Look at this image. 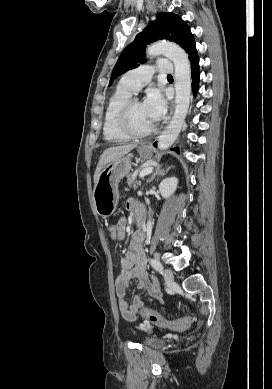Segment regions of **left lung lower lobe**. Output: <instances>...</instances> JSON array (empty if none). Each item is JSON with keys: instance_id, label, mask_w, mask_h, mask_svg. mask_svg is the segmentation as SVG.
I'll list each match as a JSON object with an SVG mask.
<instances>
[{"instance_id": "1", "label": "left lung lower lobe", "mask_w": 272, "mask_h": 389, "mask_svg": "<svg viewBox=\"0 0 272 389\" xmlns=\"http://www.w3.org/2000/svg\"><path fill=\"white\" fill-rule=\"evenodd\" d=\"M189 59L191 61V70H192V89L194 94L197 92L199 87V57L197 54L196 47L189 54ZM155 147L157 146V142L153 144ZM174 150V149H173ZM178 151V149H175Z\"/></svg>"}]
</instances>
